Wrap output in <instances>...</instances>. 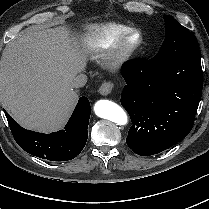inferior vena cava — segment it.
Returning <instances> with one entry per match:
<instances>
[{
    "mask_svg": "<svg viewBox=\"0 0 209 209\" xmlns=\"http://www.w3.org/2000/svg\"><path fill=\"white\" fill-rule=\"evenodd\" d=\"M87 82V76L85 74L77 75L72 81V87L80 88L83 87Z\"/></svg>",
    "mask_w": 209,
    "mask_h": 209,
    "instance_id": "602c4592",
    "label": "inferior vena cava"
}]
</instances>
